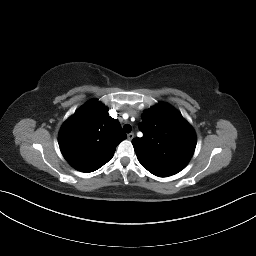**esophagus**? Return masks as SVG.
Listing matches in <instances>:
<instances>
[{
  "label": "esophagus",
  "instance_id": "esophagus-1",
  "mask_svg": "<svg viewBox=\"0 0 256 256\" xmlns=\"http://www.w3.org/2000/svg\"><path fill=\"white\" fill-rule=\"evenodd\" d=\"M127 138H128L129 140H132V139L134 138V133H129V134L127 135Z\"/></svg>",
  "mask_w": 256,
  "mask_h": 256
}]
</instances>
